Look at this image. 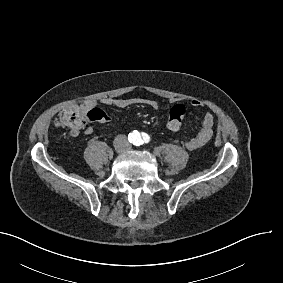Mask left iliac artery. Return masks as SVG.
Returning a JSON list of instances; mask_svg holds the SVG:
<instances>
[{
  "label": "left iliac artery",
  "mask_w": 283,
  "mask_h": 283,
  "mask_svg": "<svg viewBox=\"0 0 283 283\" xmlns=\"http://www.w3.org/2000/svg\"><path fill=\"white\" fill-rule=\"evenodd\" d=\"M150 142V136L146 133H142L141 136L139 135L137 140L135 141V145L139 146L142 145L143 143H149Z\"/></svg>",
  "instance_id": "obj_1"
}]
</instances>
